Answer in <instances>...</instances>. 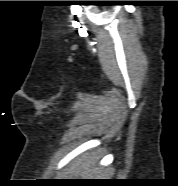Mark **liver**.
I'll list each match as a JSON object with an SVG mask.
<instances>
[{"mask_svg": "<svg viewBox=\"0 0 178 186\" xmlns=\"http://www.w3.org/2000/svg\"><path fill=\"white\" fill-rule=\"evenodd\" d=\"M99 160L98 156L93 154H83L77 159V164L75 166V173L77 177L82 178H104L109 172L103 170L96 166L97 161Z\"/></svg>", "mask_w": 178, "mask_h": 186, "instance_id": "obj_1", "label": "liver"}]
</instances>
